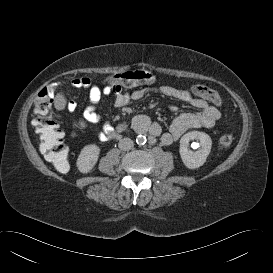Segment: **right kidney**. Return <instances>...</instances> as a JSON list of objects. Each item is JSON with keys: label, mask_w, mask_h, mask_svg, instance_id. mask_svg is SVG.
I'll use <instances>...</instances> for the list:
<instances>
[{"label": "right kidney", "mask_w": 273, "mask_h": 273, "mask_svg": "<svg viewBox=\"0 0 273 273\" xmlns=\"http://www.w3.org/2000/svg\"><path fill=\"white\" fill-rule=\"evenodd\" d=\"M100 148L95 144L86 145L80 152L77 166L80 172L87 173L97 163Z\"/></svg>", "instance_id": "obj_1"}]
</instances>
